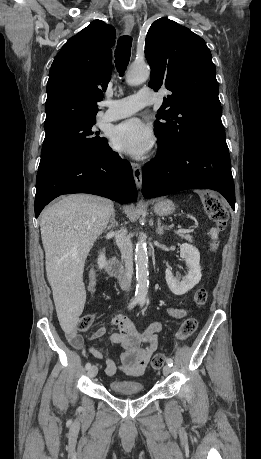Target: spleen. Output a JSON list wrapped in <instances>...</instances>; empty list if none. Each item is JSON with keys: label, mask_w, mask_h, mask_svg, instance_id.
Listing matches in <instances>:
<instances>
[{"label": "spleen", "mask_w": 261, "mask_h": 459, "mask_svg": "<svg viewBox=\"0 0 261 459\" xmlns=\"http://www.w3.org/2000/svg\"><path fill=\"white\" fill-rule=\"evenodd\" d=\"M210 236L212 239H217L218 238V233H217V230L215 228H212L210 230Z\"/></svg>", "instance_id": "obj_1"}]
</instances>
